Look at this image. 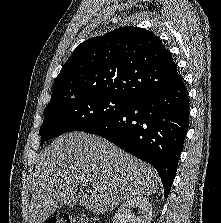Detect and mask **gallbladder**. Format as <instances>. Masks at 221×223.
<instances>
[{"mask_svg":"<svg viewBox=\"0 0 221 223\" xmlns=\"http://www.w3.org/2000/svg\"><path fill=\"white\" fill-rule=\"evenodd\" d=\"M77 202H78V197L73 196L72 198H70L68 205L69 207H73Z\"/></svg>","mask_w":221,"mask_h":223,"instance_id":"obj_1","label":"gallbladder"}]
</instances>
